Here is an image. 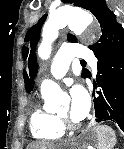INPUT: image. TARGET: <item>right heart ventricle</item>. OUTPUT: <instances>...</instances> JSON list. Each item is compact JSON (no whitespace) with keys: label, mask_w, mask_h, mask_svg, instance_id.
<instances>
[{"label":"right heart ventricle","mask_w":124,"mask_h":149,"mask_svg":"<svg viewBox=\"0 0 124 149\" xmlns=\"http://www.w3.org/2000/svg\"><path fill=\"white\" fill-rule=\"evenodd\" d=\"M29 129L32 137L40 142H53L60 139L65 129L56 114L37 104L29 116Z\"/></svg>","instance_id":"1"}]
</instances>
